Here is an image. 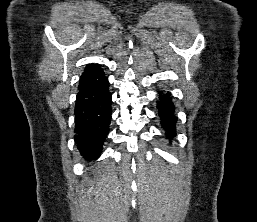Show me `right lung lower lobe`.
Returning a JSON list of instances; mask_svg holds the SVG:
<instances>
[{"label": "right lung lower lobe", "mask_w": 257, "mask_h": 222, "mask_svg": "<svg viewBox=\"0 0 257 222\" xmlns=\"http://www.w3.org/2000/svg\"><path fill=\"white\" fill-rule=\"evenodd\" d=\"M109 82L101 75L94 82L79 87L75 105V142L88 161L97 159L109 132L111 121Z\"/></svg>", "instance_id": "1"}]
</instances>
